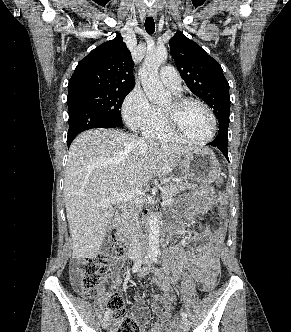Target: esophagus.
I'll return each mask as SVG.
<instances>
[{"label": "esophagus", "mask_w": 291, "mask_h": 332, "mask_svg": "<svg viewBox=\"0 0 291 332\" xmlns=\"http://www.w3.org/2000/svg\"><path fill=\"white\" fill-rule=\"evenodd\" d=\"M148 16H150V17H156V11L153 8H150L148 10Z\"/></svg>", "instance_id": "obj_1"}]
</instances>
